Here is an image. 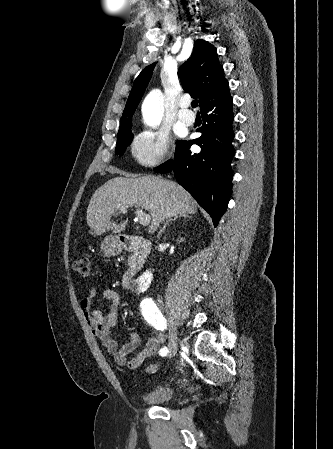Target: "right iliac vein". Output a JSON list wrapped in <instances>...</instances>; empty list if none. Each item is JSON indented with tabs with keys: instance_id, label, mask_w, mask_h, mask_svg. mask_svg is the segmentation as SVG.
I'll list each match as a JSON object with an SVG mask.
<instances>
[{
	"instance_id": "obj_1",
	"label": "right iliac vein",
	"mask_w": 333,
	"mask_h": 449,
	"mask_svg": "<svg viewBox=\"0 0 333 449\" xmlns=\"http://www.w3.org/2000/svg\"><path fill=\"white\" fill-rule=\"evenodd\" d=\"M178 347V336L177 332L173 330L170 334L169 343H168V356L172 357L177 352Z\"/></svg>"
}]
</instances>
